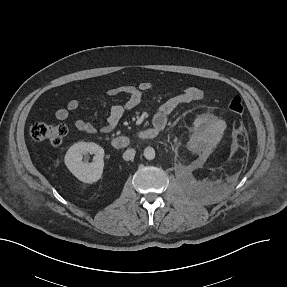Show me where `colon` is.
I'll use <instances>...</instances> for the list:
<instances>
[{
	"label": "colon",
	"instance_id": "1",
	"mask_svg": "<svg viewBox=\"0 0 287 287\" xmlns=\"http://www.w3.org/2000/svg\"><path fill=\"white\" fill-rule=\"evenodd\" d=\"M229 110L234 114H242L244 104L240 96H234L229 104ZM67 133V128L62 124H48L43 122H35L31 125L30 135L33 140L45 142L52 146H58L63 141Z\"/></svg>",
	"mask_w": 287,
	"mask_h": 287
}]
</instances>
